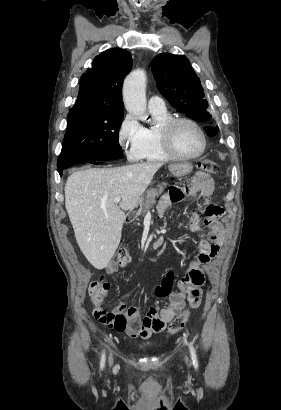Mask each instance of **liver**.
Instances as JSON below:
<instances>
[{
    "instance_id": "obj_1",
    "label": "liver",
    "mask_w": 281,
    "mask_h": 410,
    "mask_svg": "<svg viewBox=\"0 0 281 410\" xmlns=\"http://www.w3.org/2000/svg\"><path fill=\"white\" fill-rule=\"evenodd\" d=\"M159 162L74 172L65 184V207L76 241L96 269L108 266L119 246L125 212L134 208L162 166ZM122 198L119 206L114 199Z\"/></svg>"
}]
</instances>
